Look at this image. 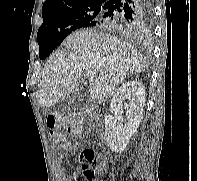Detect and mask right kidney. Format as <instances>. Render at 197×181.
Instances as JSON below:
<instances>
[{
  "label": "right kidney",
  "instance_id": "right-kidney-1",
  "mask_svg": "<svg viewBox=\"0 0 197 181\" xmlns=\"http://www.w3.org/2000/svg\"><path fill=\"white\" fill-rule=\"evenodd\" d=\"M144 105L145 87L141 81H128L114 94L110 104L112 115L105 119V139L113 152L119 153L126 149L143 118ZM124 111L128 122L123 126L119 121Z\"/></svg>",
  "mask_w": 197,
  "mask_h": 181
}]
</instances>
